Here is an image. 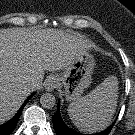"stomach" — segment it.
I'll list each match as a JSON object with an SVG mask.
<instances>
[{"label": "stomach", "mask_w": 135, "mask_h": 135, "mask_svg": "<svg viewBox=\"0 0 135 135\" xmlns=\"http://www.w3.org/2000/svg\"><path fill=\"white\" fill-rule=\"evenodd\" d=\"M95 67L92 54L85 51L58 75L59 85L64 88L68 101H76L91 84V76Z\"/></svg>", "instance_id": "0dacf381"}]
</instances>
